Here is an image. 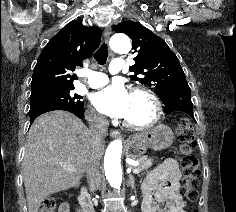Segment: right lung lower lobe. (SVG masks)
Segmentation results:
<instances>
[{
	"label": "right lung lower lobe",
	"mask_w": 236,
	"mask_h": 212,
	"mask_svg": "<svg viewBox=\"0 0 236 212\" xmlns=\"http://www.w3.org/2000/svg\"><path fill=\"white\" fill-rule=\"evenodd\" d=\"M84 107H74V106H65L53 103H46V102H37L31 103L30 105V124L38 117L39 115L54 110H65L72 112L79 118H84Z\"/></svg>",
	"instance_id": "98d812e1"
}]
</instances>
